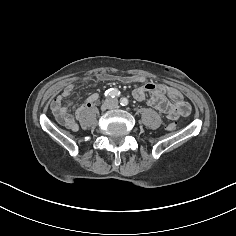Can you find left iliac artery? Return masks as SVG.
I'll use <instances>...</instances> for the list:
<instances>
[{
    "label": "left iliac artery",
    "instance_id": "44dca946",
    "mask_svg": "<svg viewBox=\"0 0 236 236\" xmlns=\"http://www.w3.org/2000/svg\"><path fill=\"white\" fill-rule=\"evenodd\" d=\"M120 104H121L122 106H127V105H128V99H126V98H121V99H120Z\"/></svg>",
    "mask_w": 236,
    "mask_h": 236
}]
</instances>
